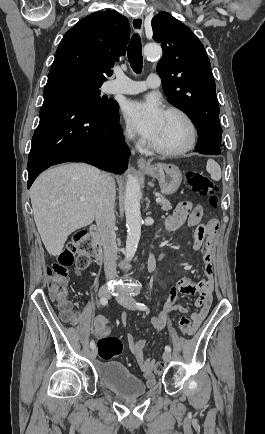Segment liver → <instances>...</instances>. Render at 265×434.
Returning a JSON list of instances; mask_svg holds the SVG:
<instances>
[{
    "label": "liver",
    "mask_w": 265,
    "mask_h": 434,
    "mask_svg": "<svg viewBox=\"0 0 265 434\" xmlns=\"http://www.w3.org/2000/svg\"><path fill=\"white\" fill-rule=\"evenodd\" d=\"M99 176L100 170L93 166L65 164L43 172L31 186L35 224L51 256L62 254L72 232L94 222Z\"/></svg>",
    "instance_id": "obj_1"
}]
</instances>
